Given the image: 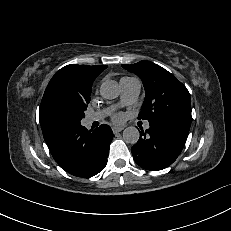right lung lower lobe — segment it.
Listing matches in <instances>:
<instances>
[{"label":"right lung lower lobe","mask_w":231,"mask_h":231,"mask_svg":"<svg viewBox=\"0 0 231 231\" xmlns=\"http://www.w3.org/2000/svg\"><path fill=\"white\" fill-rule=\"evenodd\" d=\"M112 138V130L106 124L88 131L79 123L66 127L48 146L55 161L65 171L85 178L104 169Z\"/></svg>","instance_id":"obj_1"}]
</instances>
